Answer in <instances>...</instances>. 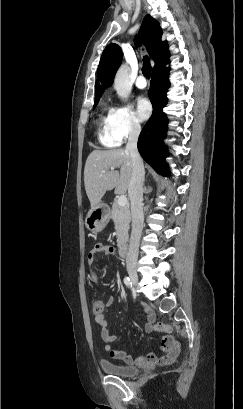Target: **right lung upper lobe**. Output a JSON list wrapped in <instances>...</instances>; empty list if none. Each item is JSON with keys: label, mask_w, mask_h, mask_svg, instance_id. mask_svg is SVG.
<instances>
[{"label": "right lung upper lobe", "mask_w": 243, "mask_h": 409, "mask_svg": "<svg viewBox=\"0 0 243 409\" xmlns=\"http://www.w3.org/2000/svg\"><path fill=\"white\" fill-rule=\"evenodd\" d=\"M162 29L159 23L150 15H147L141 25L139 34L135 37V44L143 42L146 49L158 64L169 54L167 42L161 41ZM123 58L122 50L117 44H109L103 51L97 69L98 80L96 81L95 98H100L106 87L113 84L114 76Z\"/></svg>", "instance_id": "cb5924a9"}]
</instances>
